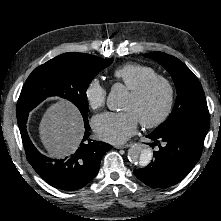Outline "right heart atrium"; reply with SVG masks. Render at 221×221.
I'll return each instance as SVG.
<instances>
[{
	"mask_svg": "<svg viewBox=\"0 0 221 221\" xmlns=\"http://www.w3.org/2000/svg\"><path fill=\"white\" fill-rule=\"evenodd\" d=\"M107 96L106 88L94 78L85 88V97L90 108L97 110L105 105Z\"/></svg>",
	"mask_w": 221,
	"mask_h": 221,
	"instance_id": "obj_1",
	"label": "right heart atrium"
}]
</instances>
